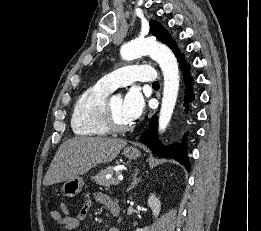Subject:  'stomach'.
<instances>
[{"label": "stomach", "instance_id": "1", "mask_svg": "<svg viewBox=\"0 0 261 231\" xmlns=\"http://www.w3.org/2000/svg\"><path fill=\"white\" fill-rule=\"evenodd\" d=\"M123 155L129 160H135L141 156V152L135 147H126ZM84 186V180L81 176H75L67 180L62 187V192L66 197H74L79 194Z\"/></svg>", "mask_w": 261, "mask_h": 231}]
</instances>
